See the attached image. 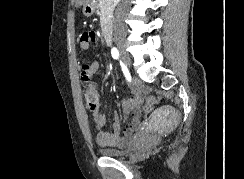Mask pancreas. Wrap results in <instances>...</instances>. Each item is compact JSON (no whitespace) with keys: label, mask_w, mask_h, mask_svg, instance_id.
Wrapping results in <instances>:
<instances>
[{"label":"pancreas","mask_w":244,"mask_h":179,"mask_svg":"<svg viewBox=\"0 0 244 179\" xmlns=\"http://www.w3.org/2000/svg\"><path fill=\"white\" fill-rule=\"evenodd\" d=\"M100 20H107L108 16L113 12V6L111 0H101L100 4Z\"/></svg>","instance_id":"obj_1"}]
</instances>
